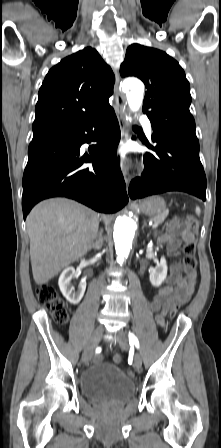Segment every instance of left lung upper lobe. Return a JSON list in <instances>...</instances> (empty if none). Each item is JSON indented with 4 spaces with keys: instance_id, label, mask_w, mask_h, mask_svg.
Instances as JSON below:
<instances>
[{
    "instance_id": "1",
    "label": "left lung upper lobe",
    "mask_w": 221,
    "mask_h": 448,
    "mask_svg": "<svg viewBox=\"0 0 221 448\" xmlns=\"http://www.w3.org/2000/svg\"><path fill=\"white\" fill-rule=\"evenodd\" d=\"M122 77L136 76L146 85L143 112L153 131L197 140L195 121L189 111L190 85L176 60L165 52L132 44L121 65Z\"/></svg>"
}]
</instances>
